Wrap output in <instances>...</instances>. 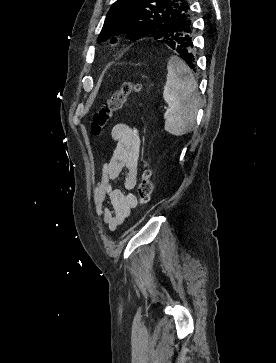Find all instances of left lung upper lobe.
Returning <instances> with one entry per match:
<instances>
[{
	"mask_svg": "<svg viewBox=\"0 0 276 363\" xmlns=\"http://www.w3.org/2000/svg\"><path fill=\"white\" fill-rule=\"evenodd\" d=\"M187 12V0H117L110 8L98 41L125 33L131 40L154 37L166 43ZM112 42H116L112 39Z\"/></svg>",
	"mask_w": 276,
	"mask_h": 363,
	"instance_id": "1",
	"label": "left lung upper lobe"
}]
</instances>
